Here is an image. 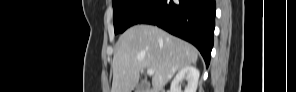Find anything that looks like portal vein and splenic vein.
Segmentation results:
<instances>
[{"instance_id": "obj_1", "label": "portal vein and splenic vein", "mask_w": 296, "mask_h": 92, "mask_svg": "<svg viewBox=\"0 0 296 92\" xmlns=\"http://www.w3.org/2000/svg\"><path fill=\"white\" fill-rule=\"evenodd\" d=\"M147 74L150 75V76L153 75L154 74V70L153 69H148L147 70Z\"/></svg>"}]
</instances>
